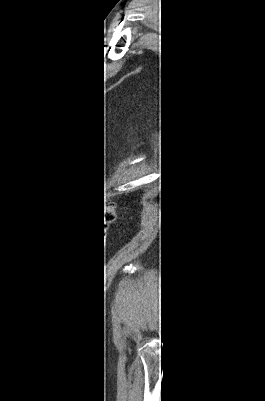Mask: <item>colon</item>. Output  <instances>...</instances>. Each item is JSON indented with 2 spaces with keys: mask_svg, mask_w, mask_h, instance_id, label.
<instances>
[{
  "mask_svg": "<svg viewBox=\"0 0 265 401\" xmlns=\"http://www.w3.org/2000/svg\"><path fill=\"white\" fill-rule=\"evenodd\" d=\"M114 209H115L114 203H113L112 201L108 202V203L105 205V208H104V210H105V215H107L108 217H110L111 215H113Z\"/></svg>",
  "mask_w": 265,
  "mask_h": 401,
  "instance_id": "1",
  "label": "colon"
}]
</instances>
